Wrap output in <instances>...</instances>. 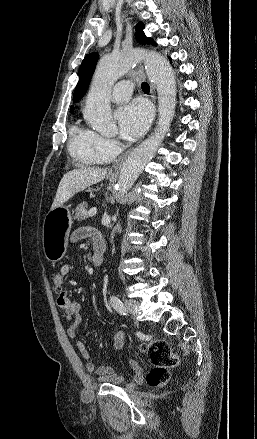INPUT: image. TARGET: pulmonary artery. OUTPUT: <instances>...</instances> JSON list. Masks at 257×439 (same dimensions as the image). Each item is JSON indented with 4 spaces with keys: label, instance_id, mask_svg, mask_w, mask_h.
<instances>
[{
    "label": "pulmonary artery",
    "instance_id": "pulmonary-artery-1",
    "mask_svg": "<svg viewBox=\"0 0 257 439\" xmlns=\"http://www.w3.org/2000/svg\"><path fill=\"white\" fill-rule=\"evenodd\" d=\"M133 83L130 81H121L117 83L111 92V99L115 103L126 102L132 94Z\"/></svg>",
    "mask_w": 257,
    "mask_h": 439
}]
</instances>
